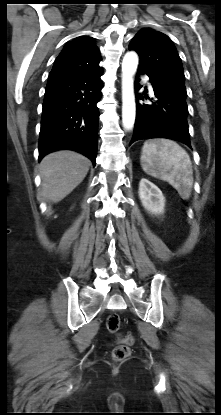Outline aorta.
I'll return each instance as SVG.
<instances>
[{"label":"aorta","instance_id":"aorta-1","mask_svg":"<svg viewBox=\"0 0 221 415\" xmlns=\"http://www.w3.org/2000/svg\"><path fill=\"white\" fill-rule=\"evenodd\" d=\"M138 67V55L127 52L122 61V124L131 130L135 122L136 105L134 96V74Z\"/></svg>","mask_w":221,"mask_h":415}]
</instances>
